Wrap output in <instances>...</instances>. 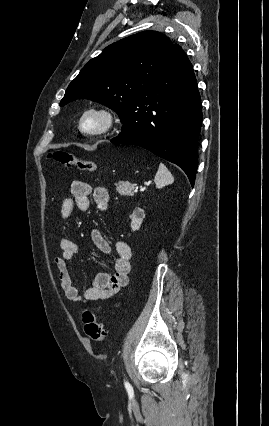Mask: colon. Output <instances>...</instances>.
Instances as JSON below:
<instances>
[{"label": "colon", "instance_id": "obj_1", "mask_svg": "<svg viewBox=\"0 0 269 426\" xmlns=\"http://www.w3.org/2000/svg\"><path fill=\"white\" fill-rule=\"evenodd\" d=\"M49 157L60 165L75 166L80 171L94 172L97 170V164L95 162L80 159L65 150H56L50 153ZM82 317L86 335L94 341L104 342L107 333L99 320V315L94 311L86 310Z\"/></svg>", "mask_w": 269, "mask_h": 426}]
</instances>
